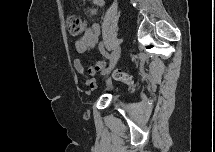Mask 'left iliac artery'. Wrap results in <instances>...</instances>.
Returning a JSON list of instances; mask_svg holds the SVG:
<instances>
[{
    "label": "left iliac artery",
    "mask_w": 215,
    "mask_h": 152,
    "mask_svg": "<svg viewBox=\"0 0 215 152\" xmlns=\"http://www.w3.org/2000/svg\"><path fill=\"white\" fill-rule=\"evenodd\" d=\"M103 52V54H104V56L105 57H108V62L111 64L112 62H113V58H112V56L110 55V54H108L107 52H105V51H102ZM111 66L109 65L108 67H107V69H102L98 74L100 75V76H105V74L107 73V72H109L110 70H111Z\"/></svg>",
    "instance_id": "obj_1"
}]
</instances>
